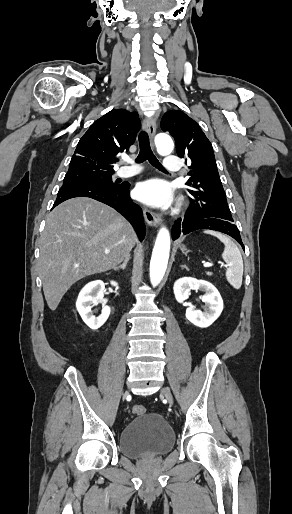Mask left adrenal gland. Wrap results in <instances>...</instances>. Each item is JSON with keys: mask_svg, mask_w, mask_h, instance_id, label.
I'll return each instance as SVG.
<instances>
[{"mask_svg": "<svg viewBox=\"0 0 292 514\" xmlns=\"http://www.w3.org/2000/svg\"><path fill=\"white\" fill-rule=\"evenodd\" d=\"M180 268H185V270H188V268H187V266H185V264H184V266H180Z\"/></svg>", "mask_w": 292, "mask_h": 514, "instance_id": "left-adrenal-gland-1", "label": "left adrenal gland"}]
</instances>
